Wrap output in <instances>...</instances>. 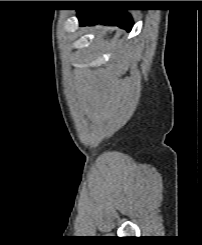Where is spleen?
Listing matches in <instances>:
<instances>
[{"label":"spleen","mask_w":202,"mask_h":245,"mask_svg":"<svg viewBox=\"0 0 202 245\" xmlns=\"http://www.w3.org/2000/svg\"><path fill=\"white\" fill-rule=\"evenodd\" d=\"M119 46V43H117L115 40H112L110 44L106 43L105 47L108 49H114Z\"/></svg>","instance_id":"3e777b00"}]
</instances>
